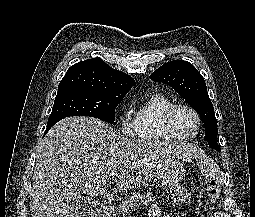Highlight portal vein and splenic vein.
Here are the masks:
<instances>
[{
	"label": "portal vein and splenic vein",
	"instance_id": "obj_1",
	"mask_svg": "<svg viewBox=\"0 0 255 217\" xmlns=\"http://www.w3.org/2000/svg\"><path fill=\"white\" fill-rule=\"evenodd\" d=\"M118 175V173L116 172V171H112L111 173H110V176H117Z\"/></svg>",
	"mask_w": 255,
	"mask_h": 217
}]
</instances>
